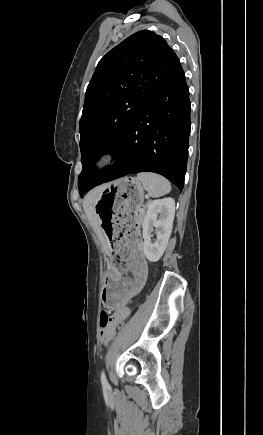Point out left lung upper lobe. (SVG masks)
<instances>
[{
	"instance_id": "1",
	"label": "left lung upper lobe",
	"mask_w": 263,
	"mask_h": 435,
	"mask_svg": "<svg viewBox=\"0 0 263 435\" xmlns=\"http://www.w3.org/2000/svg\"><path fill=\"white\" fill-rule=\"evenodd\" d=\"M179 65L167 42L149 30L129 36L99 61L80 119L81 197L102 176L94 171L99 156L118 152L139 112Z\"/></svg>"
}]
</instances>
